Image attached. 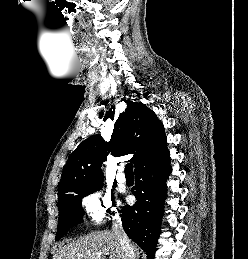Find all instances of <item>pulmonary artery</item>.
Here are the masks:
<instances>
[{
	"label": "pulmonary artery",
	"mask_w": 248,
	"mask_h": 259,
	"mask_svg": "<svg viewBox=\"0 0 248 259\" xmlns=\"http://www.w3.org/2000/svg\"><path fill=\"white\" fill-rule=\"evenodd\" d=\"M116 180H117L118 183H125L126 182V176L123 173V167L119 168V172L116 176Z\"/></svg>",
	"instance_id": "e3ab8cb5"
}]
</instances>
